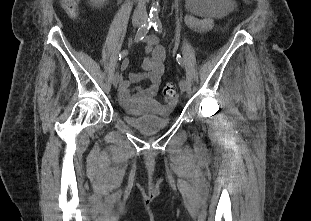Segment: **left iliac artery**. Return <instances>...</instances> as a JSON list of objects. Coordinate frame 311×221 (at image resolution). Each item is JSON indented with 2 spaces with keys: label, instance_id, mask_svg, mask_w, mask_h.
<instances>
[{
  "label": "left iliac artery",
  "instance_id": "obj_1",
  "mask_svg": "<svg viewBox=\"0 0 311 221\" xmlns=\"http://www.w3.org/2000/svg\"><path fill=\"white\" fill-rule=\"evenodd\" d=\"M153 27H154V29H155L157 32H161V31H162V23H161V20H160V19H154ZM176 59H177V62H178L181 66L184 65L183 59H182V57H181L179 54H177Z\"/></svg>",
  "mask_w": 311,
  "mask_h": 221
}]
</instances>
